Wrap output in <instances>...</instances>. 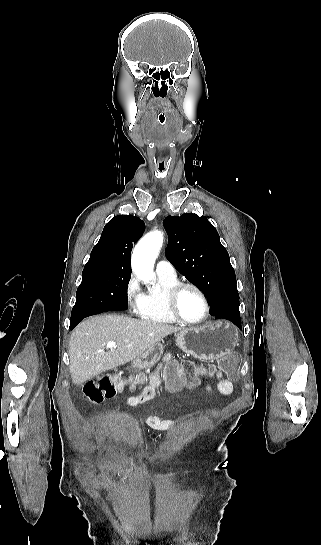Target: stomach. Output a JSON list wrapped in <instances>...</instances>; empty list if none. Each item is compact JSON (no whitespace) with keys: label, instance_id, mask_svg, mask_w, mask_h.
I'll use <instances>...</instances> for the list:
<instances>
[{"label":"stomach","instance_id":"1","mask_svg":"<svg viewBox=\"0 0 321 545\" xmlns=\"http://www.w3.org/2000/svg\"><path fill=\"white\" fill-rule=\"evenodd\" d=\"M238 343V329L229 321H215L204 327H192L176 333V345L183 353L205 361H216L224 357L234 351ZM163 349L161 343H156L152 349L134 359L130 367L132 373L151 369L158 363Z\"/></svg>","mask_w":321,"mask_h":545}]
</instances>
